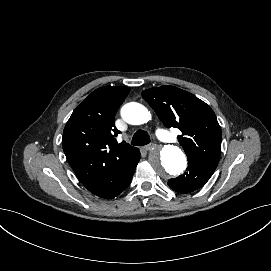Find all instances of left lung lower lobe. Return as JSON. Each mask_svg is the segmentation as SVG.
<instances>
[{"label":"left lung lower lobe","instance_id":"obj_1","mask_svg":"<svg viewBox=\"0 0 271 271\" xmlns=\"http://www.w3.org/2000/svg\"><path fill=\"white\" fill-rule=\"evenodd\" d=\"M217 165L208 159L188 161V167L184 174L170 179L168 186L172 190L182 194L194 192L206 184Z\"/></svg>","mask_w":271,"mask_h":271}]
</instances>
